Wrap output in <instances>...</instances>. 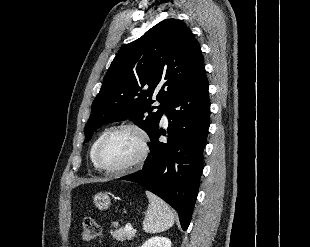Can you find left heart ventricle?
Listing matches in <instances>:
<instances>
[{"label": "left heart ventricle", "instance_id": "1", "mask_svg": "<svg viewBox=\"0 0 310 247\" xmlns=\"http://www.w3.org/2000/svg\"><path fill=\"white\" fill-rule=\"evenodd\" d=\"M139 149L140 141L137 134L130 130H122L105 142L100 152V161L108 168L121 167L132 161Z\"/></svg>", "mask_w": 310, "mask_h": 247}]
</instances>
